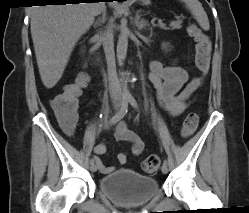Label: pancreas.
Masks as SVG:
<instances>
[{
	"label": "pancreas",
	"mask_w": 249,
	"mask_h": 213,
	"mask_svg": "<svg viewBox=\"0 0 249 213\" xmlns=\"http://www.w3.org/2000/svg\"><path fill=\"white\" fill-rule=\"evenodd\" d=\"M181 21L179 20V21H173V22H171V24H170V28L172 29V30H174V29H181Z\"/></svg>",
	"instance_id": "cf45deb5"
}]
</instances>
